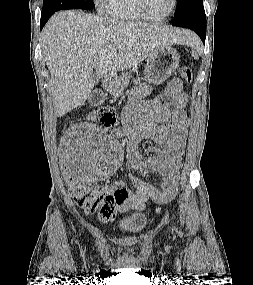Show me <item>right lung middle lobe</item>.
I'll use <instances>...</instances> for the list:
<instances>
[{"mask_svg":"<svg viewBox=\"0 0 253 285\" xmlns=\"http://www.w3.org/2000/svg\"><path fill=\"white\" fill-rule=\"evenodd\" d=\"M93 0H44L42 12L66 9H92Z\"/></svg>","mask_w":253,"mask_h":285,"instance_id":"1","label":"right lung middle lobe"}]
</instances>
